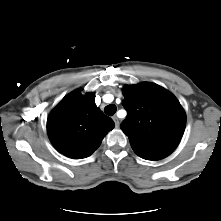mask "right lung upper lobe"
I'll return each instance as SVG.
<instances>
[{"instance_id": "right-lung-upper-lobe-1", "label": "right lung upper lobe", "mask_w": 221, "mask_h": 221, "mask_svg": "<svg viewBox=\"0 0 221 221\" xmlns=\"http://www.w3.org/2000/svg\"><path fill=\"white\" fill-rule=\"evenodd\" d=\"M113 120L95 104L93 92L81 95L73 91L50 113L47 132L53 146L73 159L90 156L101 144Z\"/></svg>"}]
</instances>
